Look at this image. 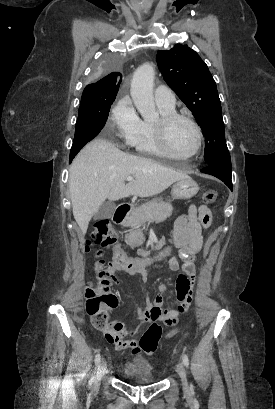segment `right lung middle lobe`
<instances>
[{
  "label": "right lung middle lobe",
  "instance_id": "obj_1",
  "mask_svg": "<svg viewBox=\"0 0 275 409\" xmlns=\"http://www.w3.org/2000/svg\"><path fill=\"white\" fill-rule=\"evenodd\" d=\"M121 63V57H98L93 76L98 78L100 73H121ZM88 82L93 84L95 79L90 77ZM114 100H87L81 98L74 141L70 151V163L81 148L102 130Z\"/></svg>",
  "mask_w": 275,
  "mask_h": 409
}]
</instances>
